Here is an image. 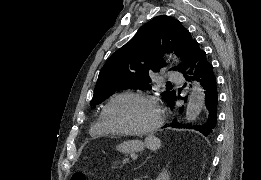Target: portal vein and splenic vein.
I'll return each mask as SVG.
<instances>
[{
    "mask_svg": "<svg viewBox=\"0 0 261 180\" xmlns=\"http://www.w3.org/2000/svg\"><path fill=\"white\" fill-rule=\"evenodd\" d=\"M121 163H123L124 165H129L130 161L128 158H121Z\"/></svg>",
    "mask_w": 261,
    "mask_h": 180,
    "instance_id": "portal-vein-and-splenic-vein-1",
    "label": "portal vein and splenic vein"
}]
</instances>
